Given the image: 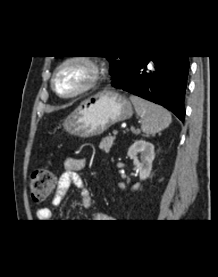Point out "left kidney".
<instances>
[{"label":"left kidney","mask_w":218,"mask_h":277,"mask_svg":"<svg viewBox=\"0 0 218 277\" xmlns=\"http://www.w3.org/2000/svg\"><path fill=\"white\" fill-rule=\"evenodd\" d=\"M127 155L133 160L134 166L139 171L140 180L149 177L152 170V162L155 157L154 145L144 140H137L128 149ZM140 155V160L138 159ZM119 187L125 189V184L120 183ZM140 183H136L132 189L138 190Z\"/></svg>","instance_id":"left-kidney-1"}]
</instances>
